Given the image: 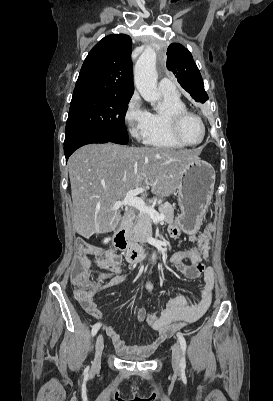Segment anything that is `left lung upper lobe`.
I'll list each match as a JSON object with an SVG mask.
<instances>
[{"label": "left lung upper lobe", "instance_id": "left-lung-upper-lobe-1", "mask_svg": "<svg viewBox=\"0 0 273 401\" xmlns=\"http://www.w3.org/2000/svg\"><path fill=\"white\" fill-rule=\"evenodd\" d=\"M167 68L172 71L180 85L197 101L204 103L208 95L191 53L181 44L172 43L167 50Z\"/></svg>", "mask_w": 273, "mask_h": 401}]
</instances>
